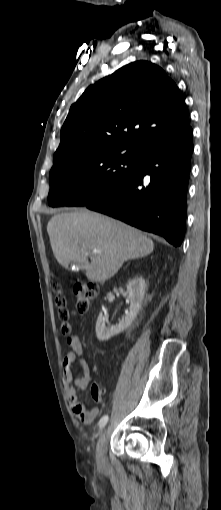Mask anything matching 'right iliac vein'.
Masks as SVG:
<instances>
[{
  "mask_svg": "<svg viewBox=\"0 0 221 510\" xmlns=\"http://www.w3.org/2000/svg\"><path fill=\"white\" fill-rule=\"evenodd\" d=\"M106 442V431L103 430L99 436L98 445H97V463L100 466L105 465V457H104V446Z\"/></svg>",
  "mask_w": 221,
  "mask_h": 510,
  "instance_id": "1",
  "label": "right iliac vein"
}]
</instances>
